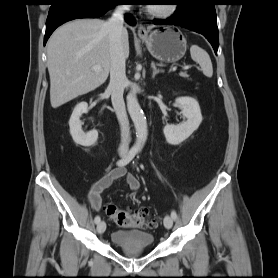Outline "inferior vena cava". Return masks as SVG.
<instances>
[{
    "instance_id": "inferior-vena-cava-1",
    "label": "inferior vena cava",
    "mask_w": 278,
    "mask_h": 278,
    "mask_svg": "<svg viewBox=\"0 0 278 278\" xmlns=\"http://www.w3.org/2000/svg\"><path fill=\"white\" fill-rule=\"evenodd\" d=\"M129 10L128 5H119L112 17L106 22L110 40V83L112 105L121 127L120 153H127L130 141L129 121L123 99L124 88L127 83L125 73V56L123 52L122 32L124 14Z\"/></svg>"
}]
</instances>
